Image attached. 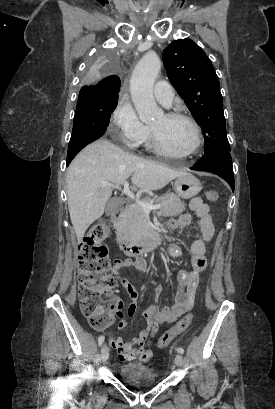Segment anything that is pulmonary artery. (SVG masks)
I'll list each match as a JSON object with an SVG mask.
<instances>
[{
	"label": "pulmonary artery",
	"instance_id": "obj_1",
	"mask_svg": "<svg viewBox=\"0 0 275 409\" xmlns=\"http://www.w3.org/2000/svg\"><path fill=\"white\" fill-rule=\"evenodd\" d=\"M174 86L169 85L167 79H160L158 81V87L155 89V97L157 101L165 107H169L172 102Z\"/></svg>",
	"mask_w": 275,
	"mask_h": 409
}]
</instances>
